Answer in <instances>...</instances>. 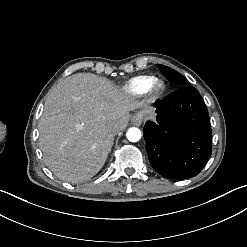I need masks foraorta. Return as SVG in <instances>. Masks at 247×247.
Segmentation results:
<instances>
[{
    "label": "aorta",
    "mask_w": 247,
    "mask_h": 247,
    "mask_svg": "<svg viewBox=\"0 0 247 247\" xmlns=\"http://www.w3.org/2000/svg\"><path fill=\"white\" fill-rule=\"evenodd\" d=\"M126 136L130 142H137L140 140L142 134L138 128L133 127L127 131Z\"/></svg>",
    "instance_id": "1"
}]
</instances>
